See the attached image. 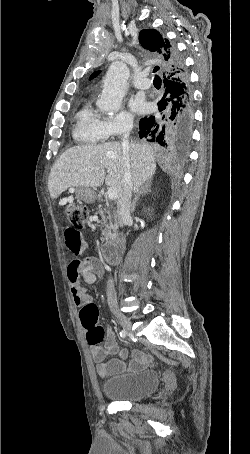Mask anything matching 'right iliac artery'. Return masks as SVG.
Segmentation results:
<instances>
[{"label":"right iliac artery","instance_id":"obj_1","mask_svg":"<svg viewBox=\"0 0 250 454\" xmlns=\"http://www.w3.org/2000/svg\"><path fill=\"white\" fill-rule=\"evenodd\" d=\"M126 334H127V333H126L125 330H122V331L120 332V336H121L122 338H125V337H126Z\"/></svg>","mask_w":250,"mask_h":454}]
</instances>
